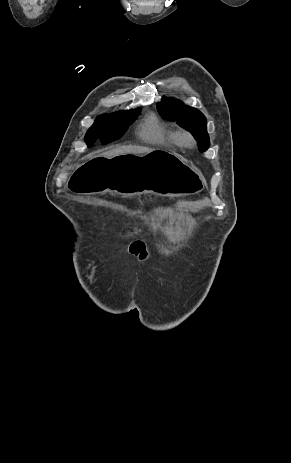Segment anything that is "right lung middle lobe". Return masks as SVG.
Returning a JSON list of instances; mask_svg holds the SVG:
<instances>
[{
  "label": "right lung middle lobe",
  "mask_w": 291,
  "mask_h": 463,
  "mask_svg": "<svg viewBox=\"0 0 291 463\" xmlns=\"http://www.w3.org/2000/svg\"><path fill=\"white\" fill-rule=\"evenodd\" d=\"M140 109L120 111L111 115H100L85 135V141L90 147L98 138L107 144L120 138L128 126L138 116Z\"/></svg>",
  "instance_id": "dd1d6c3e"
}]
</instances>
